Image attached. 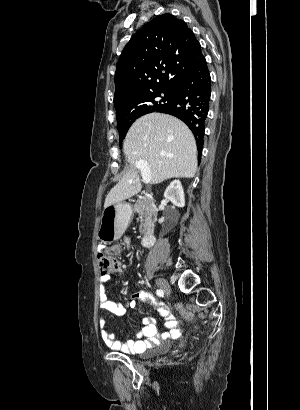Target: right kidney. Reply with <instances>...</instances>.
I'll return each instance as SVG.
<instances>
[{"label":"right kidney","instance_id":"right-kidney-1","mask_svg":"<svg viewBox=\"0 0 300 410\" xmlns=\"http://www.w3.org/2000/svg\"><path fill=\"white\" fill-rule=\"evenodd\" d=\"M164 197L176 207L185 206L184 191L179 180H174L169 184L164 192Z\"/></svg>","mask_w":300,"mask_h":410}]
</instances>
